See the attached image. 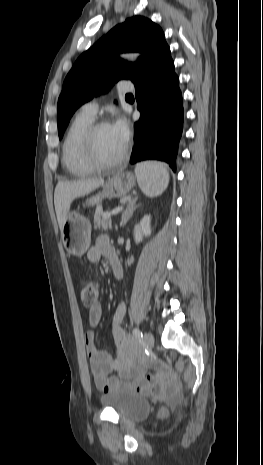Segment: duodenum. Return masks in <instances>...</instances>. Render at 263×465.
<instances>
[{
  "instance_id": "obj_1",
  "label": "duodenum",
  "mask_w": 263,
  "mask_h": 465,
  "mask_svg": "<svg viewBox=\"0 0 263 465\" xmlns=\"http://www.w3.org/2000/svg\"><path fill=\"white\" fill-rule=\"evenodd\" d=\"M109 260H110L113 275L115 276V278L121 279L123 276V268H122V264L119 258L117 257L116 254H113Z\"/></svg>"
}]
</instances>
